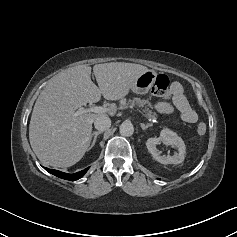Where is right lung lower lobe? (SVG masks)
<instances>
[{
	"label": "right lung lower lobe",
	"mask_w": 237,
	"mask_h": 237,
	"mask_svg": "<svg viewBox=\"0 0 237 237\" xmlns=\"http://www.w3.org/2000/svg\"><path fill=\"white\" fill-rule=\"evenodd\" d=\"M89 168H86L80 172L74 173V174H68V173H64L58 170H53V169H49V168H45L46 171H48L49 173L62 178V179H66V180H70V181H75L79 178H81L88 170Z\"/></svg>",
	"instance_id": "1"
}]
</instances>
